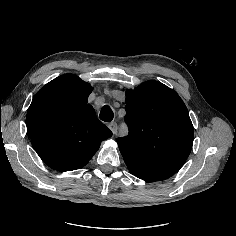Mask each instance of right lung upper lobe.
<instances>
[{
	"instance_id": "1",
	"label": "right lung upper lobe",
	"mask_w": 236,
	"mask_h": 236,
	"mask_svg": "<svg viewBox=\"0 0 236 236\" xmlns=\"http://www.w3.org/2000/svg\"><path fill=\"white\" fill-rule=\"evenodd\" d=\"M90 84L74 74L47 83L34 97L27 114L33 148L50 168L60 172L85 166L112 132L87 103Z\"/></svg>"
}]
</instances>
